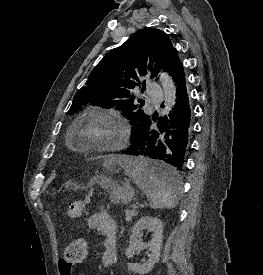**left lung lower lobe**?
Segmentation results:
<instances>
[{
    "label": "left lung lower lobe",
    "mask_w": 263,
    "mask_h": 275,
    "mask_svg": "<svg viewBox=\"0 0 263 275\" xmlns=\"http://www.w3.org/2000/svg\"><path fill=\"white\" fill-rule=\"evenodd\" d=\"M166 71L173 78L177 90L173 111L169 113V118H160L157 121L158 131L151 129L152 119L147 120L131 137V145L122 153L160 162L152 165V174L172 184L184 170L185 153L191 132V108L183 66L177 53L172 57Z\"/></svg>",
    "instance_id": "obj_1"
}]
</instances>
